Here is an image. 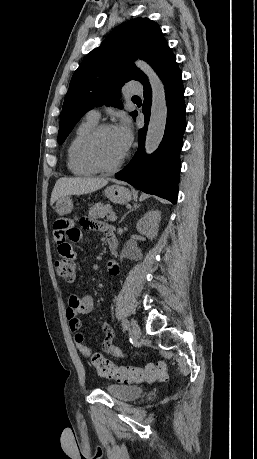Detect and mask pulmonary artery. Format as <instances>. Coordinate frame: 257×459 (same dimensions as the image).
<instances>
[{"instance_id": "1", "label": "pulmonary artery", "mask_w": 257, "mask_h": 459, "mask_svg": "<svg viewBox=\"0 0 257 459\" xmlns=\"http://www.w3.org/2000/svg\"><path fill=\"white\" fill-rule=\"evenodd\" d=\"M129 92L131 94H140L142 92V90L140 88H136V87L131 86V87H129ZM87 116L98 120L99 116H100V113H99V111L97 109H93V110L88 112Z\"/></svg>"}]
</instances>
